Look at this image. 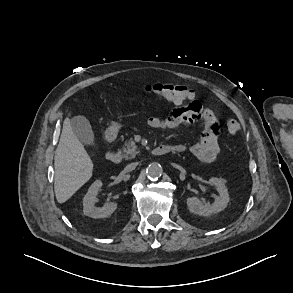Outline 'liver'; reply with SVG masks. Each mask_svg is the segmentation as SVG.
Wrapping results in <instances>:
<instances>
[{"label": "liver", "instance_id": "obj_1", "mask_svg": "<svg viewBox=\"0 0 293 293\" xmlns=\"http://www.w3.org/2000/svg\"><path fill=\"white\" fill-rule=\"evenodd\" d=\"M54 191L59 203L66 202L93 174V163L75 136L69 118L63 122V129L55 157Z\"/></svg>", "mask_w": 293, "mask_h": 293}]
</instances>
